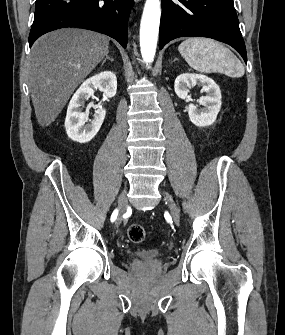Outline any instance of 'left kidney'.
I'll return each instance as SVG.
<instances>
[{
	"label": "left kidney",
	"instance_id": "1",
	"mask_svg": "<svg viewBox=\"0 0 285 335\" xmlns=\"http://www.w3.org/2000/svg\"><path fill=\"white\" fill-rule=\"evenodd\" d=\"M196 84L202 86L201 92H206L207 96L199 98L200 106H204L201 110H197L198 106L189 104L190 122L195 124V126H200V128L212 126L221 108V90L214 80L207 78V76H202V74H180L175 80V92L181 100H189L188 92L190 90L188 88H192Z\"/></svg>",
	"mask_w": 285,
	"mask_h": 335
}]
</instances>
